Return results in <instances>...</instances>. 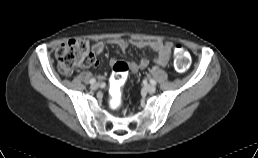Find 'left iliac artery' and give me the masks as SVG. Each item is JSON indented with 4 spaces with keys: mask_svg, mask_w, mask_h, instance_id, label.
Returning <instances> with one entry per match:
<instances>
[{
    "mask_svg": "<svg viewBox=\"0 0 258 158\" xmlns=\"http://www.w3.org/2000/svg\"><path fill=\"white\" fill-rule=\"evenodd\" d=\"M150 83L153 84V85H156V81L153 80V79H150Z\"/></svg>",
    "mask_w": 258,
    "mask_h": 158,
    "instance_id": "1",
    "label": "left iliac artery"
}]
</instances>
